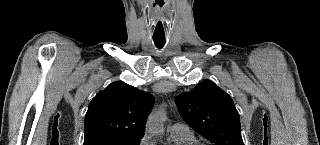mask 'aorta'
<instances>
[{
    "instance_id": "762f6f07",
    "label": "aorta",
    "mask_w": 320,
    "mask_h": 145,
    "mask_svg": "<svg viewBox=\"0 0 320 145\" xmlns=\"http://www.w3.org/2000/svg\"><path fill=\"white\" fill-rule=\"evenodd\" d=\"M164 110L159 109L157 111H154L147 122V129L154 134H161L164 130L163 128V122H164Z\"/></svg>"
}]
</instances>
